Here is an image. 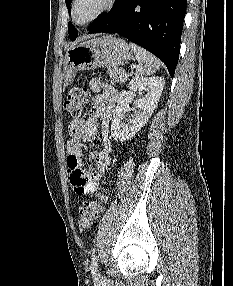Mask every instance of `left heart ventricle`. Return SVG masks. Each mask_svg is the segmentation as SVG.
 <instances>
[{"mask_svg":"<svg viewBox=\"0 0 233 286\" xmlns=\"http://www.w3.org/2000/svg\"><path fill=\"white\" fill-rule=\"evenodd\" d=\"M106 0H79L75 9L77 22H83L95 15L105 4Z\"/></svg>","mask_w":233,"mask_h":286,"instance_id":"left-heart-ventricle-1","label":"left heart ventricle"}]
</instances>
